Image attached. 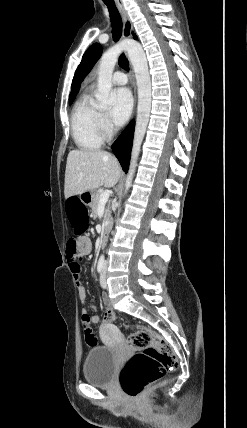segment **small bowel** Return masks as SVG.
<instances>
[{
  "label": "small bowel",
  "mask_w": 247,
  "mask_h": 428,
  "mask_svg": "<svg viewBox=\"0 0 247 428\" xmlns=\"http://www.w3.org/2000/svg\"><path fill=\"white\" fill-rule=\"evenodd\" d=\"M91 250H92L91 240L88 237H82L77 242L76 254L72 255V254L67 252V256H68V262H69L70 269L73 272L74 277L76 279V285H77V291H78L79 299L85 307L82 310V318L87 317L91 324H98L100 322V317L98 315H93V316L88 315V312H87L88 308L95 310L97 307L95 305L87 303L86 288L80 280L81 267H80V262H79V256L88 255L91 252ZM102 299H103V303L106 307V310L113 311L111 308L109 298L106 295H104Z\"/></svg>",
  "instance_id": "small-bowel-1"
}]
</instances>
